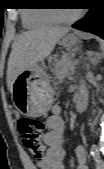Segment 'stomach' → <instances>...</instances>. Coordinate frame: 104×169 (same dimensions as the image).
I'll return each instance as SVG.
<instances>
[{"label":"stomach","instance_id":"0dacf381","mask_svg":"<svg viewBox=\"0 0 104 169\" xmlns=\"http://www.w3.org/2000/svg\"><path fill=\"white\" fill-rule=\"evenodd\" d=\"M78 41L72 33L64 35L59 44L70 47ZM45 64L22 71L12 86V100L15 108L24 116L40 117L45 115L54 103V91L45 71Z\"/></svg>","mask_w":104,"mask_h":169}]
</instances>
